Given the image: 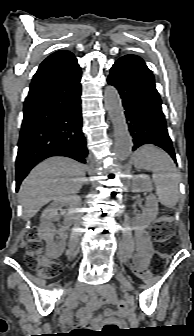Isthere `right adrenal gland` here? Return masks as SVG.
Segmentation results:
<instances>
[{"label":"right adrenal gland","mask_w":194,"mask_h":336,"mask_svg":"<svg viewBox=\"0 0 194 336\" xmlns=\"http://www.w3.org/2000/svg\"><path fill=\"white\" fill-rule=\"evenodd\" d=\"M85 183L88 184V180H86Z\"/></svg>","instance_id":"2a0ac1e0"}]
</instances>
